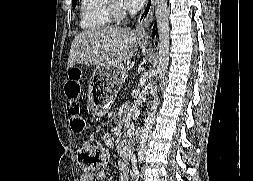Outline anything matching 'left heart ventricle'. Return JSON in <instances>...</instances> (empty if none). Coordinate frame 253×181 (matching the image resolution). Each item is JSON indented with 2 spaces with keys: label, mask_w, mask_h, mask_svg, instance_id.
I'll return each instance as SVG.
<instances>
[{
  "label": "left heart ventricle",
  "mask_w": 253,
  "mask_h": 181,
  "mask_svg": "<svg viewBox=\"0 0 253 181\" xmlns=\"http://www.w3.org/2000/svg\"><path fill=\"white\" fill-rule=\"evenodd\" d=\"M118 2H119L121 5H123L122 0H118Z\"/></svg>",
  "instance_id": "b2bd125f"
}]
</instances>
